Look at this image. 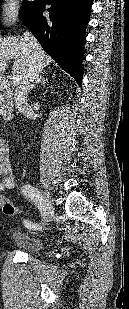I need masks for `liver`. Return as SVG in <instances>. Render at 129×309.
<instances>
[{
    "instance_id": "1",
    "label": "liver",
    "mask_w": 129,
    "mask_h": 309,
    "mask_svg": "<svg viewBox=\"0 0 129 309\" xmlns=\"http://www.w3.org/2000/svg\"><path fill=\"white\" fill-rule=\"evenodd\" d=\"M12 59H14L12 74L19 79L18 83H20L30 66V54L26 49L24 40L17 36L0 37V74L5 72ZM40 59L42 69L50 63L49 57L42 49Z\"/></svg>"
}]
</instances>
